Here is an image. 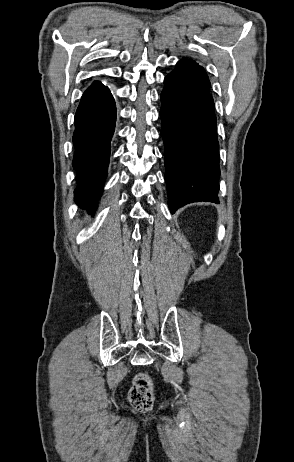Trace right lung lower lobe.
Masks as SVG:
<instances>
[{
  "mask_svg": "<svg viewBox=\"0 0 294 462\" xmlns=\"http://www.w3.org/2000/svg\"><path fill=\"white\" fill-rule=\"evenodd\" d=\"M115 121L116 105L109 88L94 81L83 93L74 119L72 164L78 171L74 195L76 203L84 208L94 204L102 193Z\"/></svg>",
  "mask_w": 294,
  "mask_h": 462,
  "instance_id": "98d812e1",
  "label": "right lung lower lobe"
}]
</instances>
